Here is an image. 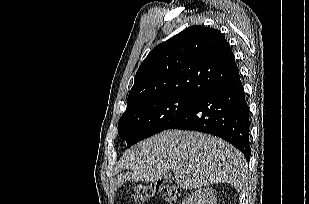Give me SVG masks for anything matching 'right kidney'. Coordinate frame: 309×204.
Listing matches in <instances>:
<instances>
[{"label":"right kidney","instance_id":"ca27d5eb","mask_svg":"<svg viewBox=\"0 0 309 204\" xmlns=\"http://www.w3.org/2000/svg\"><path fill=\"white\" fill-rule=\"evenodd\" d=\"M182 204H217V199L212 188H199L191 193Z\"/></svg>","mask_w":309,"mask_h":204}]
</instances>
